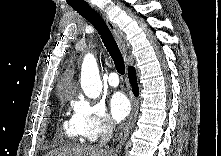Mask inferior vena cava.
<instances>
[{
    "label": "inferior vena cava",
    "mask_w": 221,
    "mask_h": 156,
    "mask_svg": "<svg viewBox=\"0 0 221 156\" xmlns=\"http://www.w3.org/2000/svg\"><path fill=\"white\" fill-rule=\"evenodd\" d=\"M113 129H114L113 122L108 121L105 126L103 135L99 141V144H98L99 147H103L104 145H106L110 141V139L112 138Z\"/></svg>",
    "instance_id": "1"
}]
</instances>
